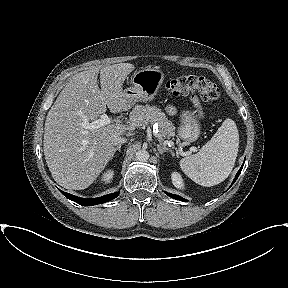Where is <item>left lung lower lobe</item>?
<instances>
[{"label":"left lung lower lobe","instance_id":"1","mask_svg":"<svg viewBox=\"0 0 288 288\" xmlns=\"http://www.w3.org/2000/svg\"><path fill=\"white\" fill-rule=\"evenodd\" d=\"M243 165H244V164H243ZM243 165L241 166V168H240L239 171L237 172V174H236V176H235V179H234L233 183L231 184V186L234 184V182L237 180L238 176L240 175L241 170H242V168H243ZM166 194H167L169 197H172V198H174V199H176V200H180V201H184V202L187 201V200H185L184 198H182V197H180V196H178V195L171 194V193H166Z\"/></svg>","mask_w":288,"mask_h":288}]
</instances>
